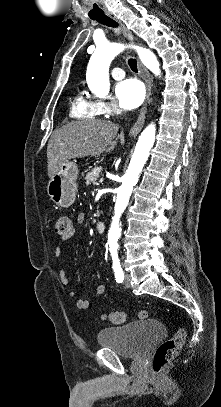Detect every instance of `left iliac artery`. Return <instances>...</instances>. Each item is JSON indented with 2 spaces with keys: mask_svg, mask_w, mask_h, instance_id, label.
<instances>
[{
  "mask_svg": "<svg viewBox=\"0 0 221 407\" xmlns=\"http://www.w3.org/2000/svg\"><path fill=\"white\" fill-rule=\"evenodd\" d=\"M112 267H113V270L115 272L116 282L122 283L123 279H124V272H123V270L121 268L120 263H114Z\"/></svg>",
  "mask_w": 221,
  "mask_h": 407,
  "instance_id": "44dca946",
  "label": "left iliac artery"
}]
</instances>
